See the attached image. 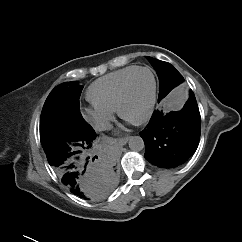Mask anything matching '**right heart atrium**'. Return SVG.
Returning a JSON list of instances; mask_svg holds the SVG:
<instances>
[{"label": "right heart atrium", "instance_id": "1", "mask_svg": "<svg viewBox=\"0 0 242 242\" xmlns=\"http://www.w3.org/2000/svg\"><path fill=\"white\" fill-rule=\"evenodd\" d=\"M83 118L98 130H106L114 119V111L111 109L99 108L95 105L82 109Z\"/></svg>", "mask_w": 242, "mask_h": 242}]
</instances>
